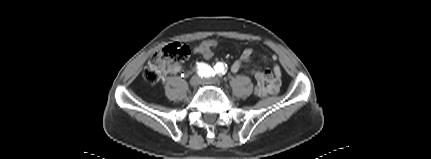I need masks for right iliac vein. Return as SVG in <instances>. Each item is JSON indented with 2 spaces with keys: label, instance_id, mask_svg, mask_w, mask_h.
Returning <instances> with one entry per match:
<instances>
[{
  "label": "right iliac vein",
  "instance_id": "right-iliac-vein-1",
  "mask_svg": "<svg viewBox=\"0 0 431 159\" xmlns=\"http://www.w3.org/2000/svg\"><path fill=\"white\" fill-rule=\"evenodd\" d=\"M200 82H201L200 77L195 75L190 79L189 84L192 87H196Z\"/></svg>",
  "mask_w": 431,
  "mask_h": 159
}]
</instances>
